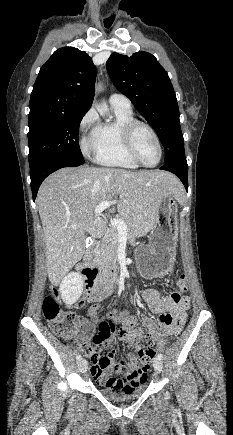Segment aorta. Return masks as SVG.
<instances>
[{
    "mask_svg": "<svg viewBox=\"0 0 233 435\" xmlns=\"http://www.w3.org/2000/svg\"><path fill=\"white\" fill-rule=\"evenodd\" d=\"M100 84L99 85H97L96 86V89H100ZM98 112L102 115V116H104V115H107L108 114V112H109V109H108V106L107 105H102L101 107H99L98 108Z\"/></svg>",
    "mask_w": 233,
    "mask_h": 435,
    "instance_id": "1",
    "label": "aorta"
}]
</instances>
